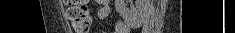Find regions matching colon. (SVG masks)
Wrapping results in <instances>:
<instances>
[{"instance_id":"colon-1","label":"colon","mask_w":235,"mask_h":33,"mask_svg":"<svg viewBox=\"0 0 235 33\" xmlns=\"http://www.w3.org/2000/svg\"><path fill=\"white\" fill-rule=\"evenodd\" d=\"M67 18L76 33H88L92 18L87 7L86 1L69 0L66 1Z\"/></svg>"}]
</instances>
